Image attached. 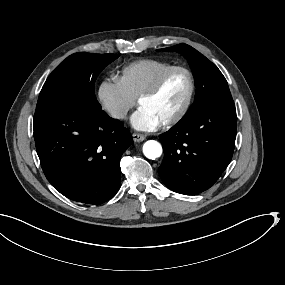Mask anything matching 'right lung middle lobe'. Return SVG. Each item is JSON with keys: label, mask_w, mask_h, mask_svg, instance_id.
Instances as JSON below:
<instances>
[{"label": "right lung middle lobe", "mask_w": 285, "mask_h": 285, "mask_svg": "<svg viewBox=\"0 0 285 285\" xmlns=\"http://www.w3.org/2000/svg\"><path fill=\"white\" fill-rule=\"evenodd\" d=\"M116 54L76 53L67 57L48 76L39 94L35 115L60 106H77L100 111L94 84L99 73Z\"/></svg>", "instance_id": "1"}]
</instances>
